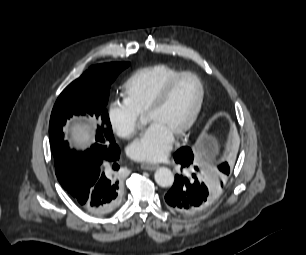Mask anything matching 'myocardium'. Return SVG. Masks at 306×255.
Returning <instances> with one entry per match:
<instances>
[{"instance_id":"f54148a6","label":"myocardium","mask_w":306,"mask_h":255,"mask_svg":"<svg viewBox=\"0 0 306 255\" xmlns=\"http://www.w3.org/2000/svg\"><path fill=\"white\" fill-rule=\"evenodd\" d=\"M185 77H193L198 82L199 88H200V94H199L198 101L196 103V106H195L192 114L190 115L188 120L184 123V125L181 128H179L177 130V132L175 133L176 137H180V136L184 135L188 130H190L192 128V126L197 121V119H198V117L201 113L203 104H204V100H205L204 83H203L202 79L196 73L191 72V71H182L179 74H177L176 76H174L173 78H171L165 84V86L159 91V93L153 99V101L151 102V104L149 105V107L146 111V115L148 116V115L152 114L153 112H155L156 110H158L165 103L166 99L168 98V96L172 92L175 85L181 79H183Z\"/></svg>"}]
</instances>
